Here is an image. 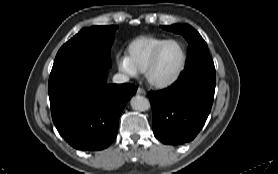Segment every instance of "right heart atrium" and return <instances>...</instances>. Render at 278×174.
<instances>
[{"mask_svg": "<svg viewBox=\"0 0 278 174\" xmlns=\"http://www.w3.org/2000/svg\"><path fill=\"white\" fill-rule=\"evenodd\" d=\"M117 65L119 70L128 76H135L138 74L128 56H119L117 58Z\"/></svg>", "mask_w": 278, "mask_h": 174, "instance_id": "d8ad5b80", "label": "right heart atrium"}]
</instances>
